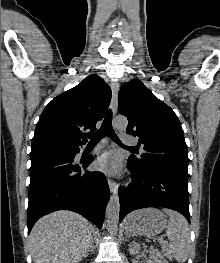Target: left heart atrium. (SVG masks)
Wrapping results in <instances>:
<instances>
[{
    "mask_svg": "<svg viewBox=\"0 0 220 263\" xmlns=\"http://www.w3.org/2000/svg\"><path fill=\"white\" fill-rule=\"evenodd\" d=\"M97 167L108 174H116L121 168L120 157L115 152H107L98 159Z\"/></svg>",
    "mask_w": 220,
    "mask_h": 263,
    "instance_id": "left-heart-atrium-1",
    "label": "left heart atrium"
}]
</instances>
